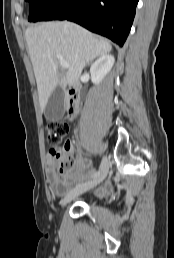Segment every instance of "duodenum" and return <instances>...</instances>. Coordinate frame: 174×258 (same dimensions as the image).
<instances>
[{
    "label": "duodenum",
    "mask_w": 174,
    "mask_h": 258,
    "mask_svg": "<svg viewBox=\"0 0 174 258\" xmlns=\"http://www.w3.org/2000/svg\"><path fill=\"white\" fill-rule=\"evenodd\" d=\"M68 115L74 119L79 112V94L77 88H70L67 94Z\"/></svg>",
    "instance_id": "duodenum-1"
}]
</instances>
